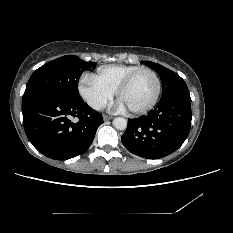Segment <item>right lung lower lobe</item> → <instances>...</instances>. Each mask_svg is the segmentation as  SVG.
Instances as JSON below:
<instances>
[{
	"label": "right lung lower lobe",
	"instance_id": "obj_1",
	"mask_svg": "<svg viewBox=\"0 0 233 233\" xmlns=\"http://www.w3.org/2000/svg\"><path fill=\"white\" fill-rule=\"evenodd\" d=\"M23 125L33 146L55 160L84 153L91 145L102 115L82 98L44 94L22 101ZM78 118L77 122L72 121Z\"/></svg>",
	"mask_w": 233,
	"mask_h": 233
}]
</instances>
